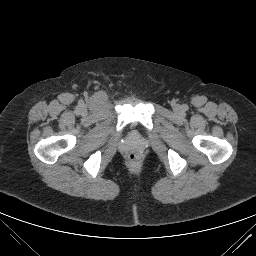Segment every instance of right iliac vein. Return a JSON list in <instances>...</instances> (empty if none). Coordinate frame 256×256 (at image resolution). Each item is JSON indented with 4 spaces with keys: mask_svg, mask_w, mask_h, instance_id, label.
Masks as SVG:
<instances>
[{
    "mask_svg": "<svg viewBox=\"0 0 256 256\" xmlns=\"http://www.w3.org/2000/svg\"><path fill=\"white\" fill-rule=\"evenodd\" d=\"M81 113L84 114L85 113V109L81 108Z\"/></svg>",
    "mask_w": 256,
    "mask_h": 256,
    "instance_id": "obj_1",
    "label": "right iliac vein"
}]
</instances>
